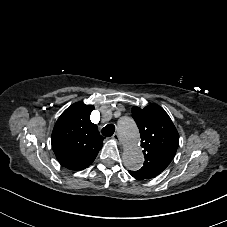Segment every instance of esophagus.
<instances>
[{
  "mask_svg": "<svg viewBox=\"0 0 227 227\" xmlns=\"http://www.w3.org/2000/svg\"><path fill=\"white\" fill-rule=\"evenodd\" d=\"M113 140L118 144V145H121V140H120V137L118 135V133H115L113 136H112Z\"/></svg>",
  "mask_w": 227,
  "mask_h": 227,
  "instance_id": "obj_1",
  "label": "esophagus"
}]
</instances>
